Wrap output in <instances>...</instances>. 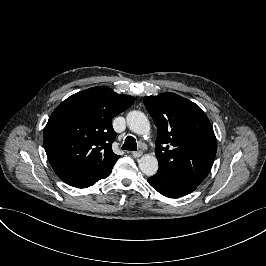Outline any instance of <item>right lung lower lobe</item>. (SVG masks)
<instances>
[{
	"mask_svg": "<svg viewBox=\"0 0 266 266\" xmlns=\"http://www.w3.org/2000/svg\"><path fill=\"white\" fill-rule=\"evenodd\" d=\"M108 177V176H107ZM106 178V177H105ZM104 179V178H103ZM94 184V183H93ZM93 184H90V185H87V186H84V187H82V188H86V187H89V186H91V185H93Z\"/></svg>",
	"mask_w": 266,
	"mask_h": 266,
	"instance_id": "obj_1",
	"label": "right lung lower lobe"
}]
</instances>
